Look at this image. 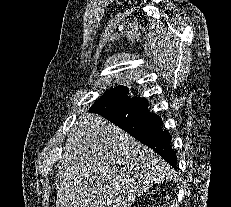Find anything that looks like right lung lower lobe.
<instances>
[{"instance_id": "right-lung-lower-lobe-1", "label": "right lung lower lobe", "mask_w": 231, "mask_h": 207, "mask_svg": "<svg viewBox=\"0 0 231 207\" xmlns=\"http://www.w3.org/2000/svg\"><path fill=\"white\" fill-rule=\"evenodd\" d=\"M123 99L107 102L99 99L91 108L107 120L119 126L131 136L141 141L176 169V154L171 148V136L162 129V119L148 110L145 98L127 97L128 89Z\"/></svg>"}]
</instances>
